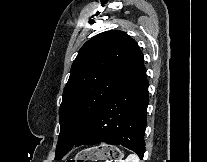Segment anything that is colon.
Returning a JSON list of instances; mask_svg holds the SVG:
<instances>
[{
	"label": "colon",
	"instance_id": "obj_1",
	"mask_svg": "<svg viewBox=\"0 0 207 162\" xmlns=\"http://www.w3.org/2000/svg\"><path fill=\"white\" fill-rule=\"evenodd\" d=\"M64 162H89L87 160H66Z\"/></svg>",
	"mask_w": 207,
	"mask_h": 162
}]
</instances>
